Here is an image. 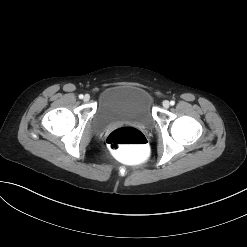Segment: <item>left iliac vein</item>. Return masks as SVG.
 <instances>
[{"label": "left iliac vein", "mask_w": 247, "mask_h": 247, "mask_svg": "<svg viewBox=\"0 0 247 247\" xmlns=\"http://www.w3.org/2000/svg\"><path fill=\"white\" fill-rule=\"evenodd\" d=\"M169 106H170V103H169V101H167V100H165V101H163V107L164 108H169Z\"/></svg>", "instance_id": "obj_1"}]
</instances>
